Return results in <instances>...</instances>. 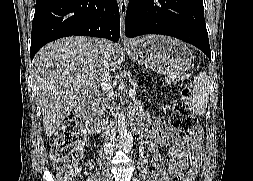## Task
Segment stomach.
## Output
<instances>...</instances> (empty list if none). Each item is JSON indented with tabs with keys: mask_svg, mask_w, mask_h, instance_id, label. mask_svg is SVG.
Wrapping results in <instances>:
<instances>
[{
	"mask_svg": "<svg viewBox=\"0 0 253 181\" xmlns=\"http://www.w3.org/2000/svg\"><path fill=\"white\" fill-rule=\"evenodd\" d=\"M126 49L128 55L138 64L165 75L184 72L192 61L186 44L163 35L137 38Z\"/></svg>",
	"mask_w": 253,
	"mask_h": 181,
	"instance_id": "stomach-1",
	"label": "stomach"
}]
</instances>
